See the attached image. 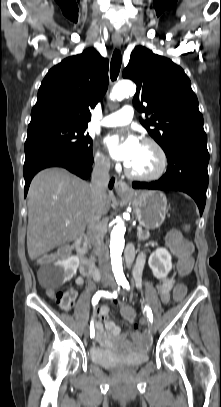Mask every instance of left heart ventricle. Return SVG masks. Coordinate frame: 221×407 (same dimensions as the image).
<instances>
[{"label":"left heart ventricle","mask_w":221,"mask_h":407,"mask_svg":"<svg viewBox=\"0 0 221 407\" xmlns=\"http://www.w3.org/2000/svg\"><path fill=\"white\" fill-rule=\"evenodd\" d=\"M161 164L157 151L150 145L140 143L134 158L128 163L129 167L138 174H153Z\"/></svg>","instance_id":"1"}]
</instances>
